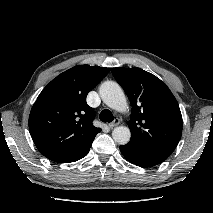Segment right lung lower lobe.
Instances as JSON below:
<instances>
[{"label": "right lung lower lobe", "mask_w": 213, "mask_h": 213, "mask_svg": "<svg viewBox=\"0 0 213 213\" xmlns=\"http://www.w3.org/2000/svg\"><path fill=\"white\" fill-rule=\"evenodd\" d=\"M92 142L93 141L89 142L87 145L77 151L52 154L47 158L58 163L75 162L83 158L89 152Z\"/></svg>", "instance_id": "obj_1"}]
</instances>
